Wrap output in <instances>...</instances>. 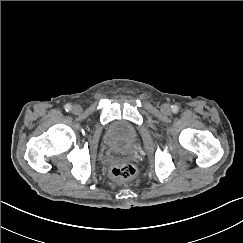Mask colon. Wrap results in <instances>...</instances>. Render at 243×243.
<instances>
[{"instance_id":"5ec220e1","label":"colon","mask_w":243,"mask_h":243,"mask_svg":"<svg viewBox=\"0 0 243 243\" xmlns=\"http://www.w3.org/2000/svg\"><path fill=\"white\" fill-rule=\"evenodd\" d=\"M109 174L115 180L127 181L136 176V169L127 162H115L110 166Z\"/></svg>"}]
</instances>
